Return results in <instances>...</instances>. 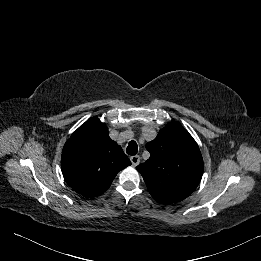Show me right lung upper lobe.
<instances>
[{
    "label": "right lung upper lobe",
    "mask_w": 261,
    "mask_h": 261,
    "mask_svg": "<svg viewBox=\"0 0 261 261\" xmlns=\"http://www.w3.org/2000/svg\"><path fill=\"white\" fill-rule=\"evenodd\" d=\"M131 165L122 148L109 137L98 118L82 124L66 142L61 158L65 181L77 193L96 197L111 185L117 173Z\"/></svg>",
    "instance_id": "1"
}]
</instances>
